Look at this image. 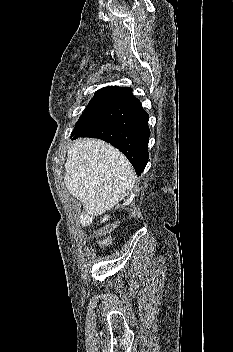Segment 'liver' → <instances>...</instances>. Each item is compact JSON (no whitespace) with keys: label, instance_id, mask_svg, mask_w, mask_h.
Listing matches in <instances>:
<instances>
[{"label":"liver","instance_id":"liver-1","mask_svg":"<svg viewBox=\"0 0 233 352\" xmlns=\"http://www.w3.org/2000/svg\"><path fill=\"white\" fill-rule=\"evenodd\" d=\"M64 182L69 193L83 203L82 226L110 211L133 189L135 172L115 147L95 139L77 140L68 150Z\"/></svg>","mask_w":233,"mask_h":352}]
</instances>
